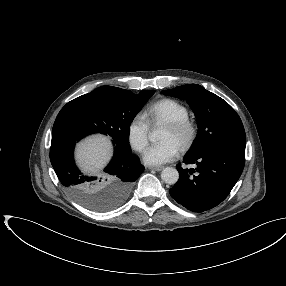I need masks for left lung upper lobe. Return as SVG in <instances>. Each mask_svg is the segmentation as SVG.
<instances>
[{
  "mask_svg": "<svg viewBox=\"0 0 286 286\" xmlns=\"http://www.w3.org/2000/svg\"><path fill=\"white\" fill-rule=\"evenodd\" d=\"M162 93L186 100L195 113L199 131L188 154L220 146L245 150L242 121L225 100L197 84L178 86Z\"/></svg>",
  "mask_w": 286,
  "mask_h": 286,
  "instance_id": "1",
  "label": "left lung upper lobe"
}]
</instances>
